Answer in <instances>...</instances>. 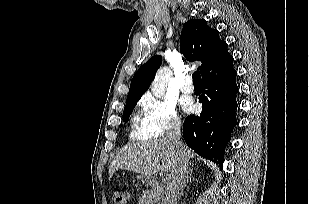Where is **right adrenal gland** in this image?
I'll list each match as a JSON object with an SVG mask.
<instances>
[{
  "instance_id": "right-adrenal-gland-1",
  "label": "right adrenal gland",
  "mask_w": 309,
  "mask_h": 204,
  "mask_svg": "<svg viewBox=\"0 0 309 204\" xmlns=\"http://www.w3.org/2000/svg\"><path fill=\"white\" fill-rule=\"evenodd\" d=\"M192 179H194V178H192V169H190L189 174L187 176L186 184L191 183ZM186 184H185V186H186Z\"/></svg>"
}]
</instances>
